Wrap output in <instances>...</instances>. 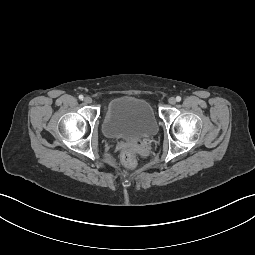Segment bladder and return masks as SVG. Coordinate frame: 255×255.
<instances>
[{
  "mask_svg": "<svg viewBox=\"0 0 255 255\" xmlns=\"http://www.w3.org/2000/svg\"><path fill=\"white\" fill-rule=\"evenodd\" d=\"M102 129L112 139L149 138L158 132V121L147 100L119 96L107 104Z\"/></svg>",
  "mask_w": 255,
  "mask_h": 255,
  "instance_id": "1",
  "label": "bladder"
}]
</instances>
